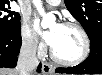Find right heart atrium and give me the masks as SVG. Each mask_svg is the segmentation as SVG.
<instances>
[{
    "label": "right heart atrium",
    "instance_id": "1",
    "mask_svg": "<svg viewBox=\"0 0 102 75\" xmlns=\"http://www.w3.org/2000/svg\"><path fill=\"white\" fill-rule=\"evenodd\" d=\"M21 40L23 47L27 52L37 53L39 56L44 54L45 48L32 32L28 21H25L21 26Z\"/></svg>",
    "mask_w": 102,
    "mask_h": 75
}]
</instances>
